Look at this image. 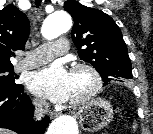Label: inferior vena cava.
<instances>
[{
  "label": "inferior vena cava",
  "mask_w": 153,
  "mask_h": 134,
  "mask_svg": "<svg viewBox=\"0 0 153 134\" xmlns=\"http://www.w3.org/2000/svg\"><path fill=\"white\" fill-rule=\"evenodd\" d=\"M35 106V119L40 120L41 117L44 116L45 112H47L49 104L45 100H35L34 102Z\"/></svg>",
  "instance_id": "1"
}]
</instances>
